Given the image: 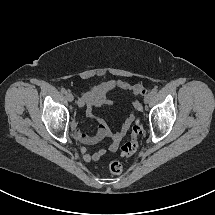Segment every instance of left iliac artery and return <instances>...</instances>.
<instances>
[{
    "label": "left iliac artery",
    "instance_id": "44dca946",
    "mask_svg": "<svg viewBox=\"0 0 215 215\" xmlns=\"http://www.w3.org/2000/svg\"><path fill=\"white\" fill-rule=\"evenodd\" d=\"M157 91H158L157 88H153V89L151 90V94L154 95V94L157 93Z\"/></svg>",
    "mask_w": 215,
    "mask_h": 215
}]
</instances>
